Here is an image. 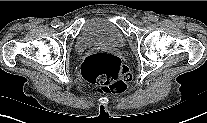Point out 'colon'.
Masks as SVG:
<instances>
[{"mask_svg":"<svg viewBox=\"0 0 207 123\" xmlns=\"http://www.w3.org/2000/svg\"><path fill=\"white\" fill-rule=\"evenodd\" d=\"M81 73L99 92L123 93L132 79L125 63L118 57L105 53L87 57L82 64Z\"/></svg>","mask_w":207,"mask_h":123,"instance_id":"colon-1","label":"colon"}]
</instances>
